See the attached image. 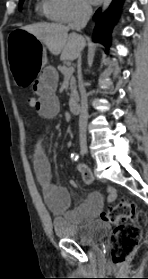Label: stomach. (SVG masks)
Here are the masks:
<instances>
[{
  "label": "stomach",
  "instance_id": "1",
  "mask_svg": "<svg viewBox=\"0 0 148 279\" xmlns=\"http://www.w3.org/2000/svg\"><path fill=\"white\" fill-rule=\"evenodd\" d=\"M5 39L14 87H34L33 79L46 64V49L29 30H10Z\"/></svg>",
  "mask_w": 148,
  "mask_h": 279
}]
</instances>
